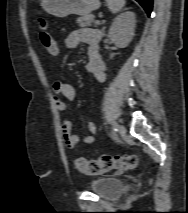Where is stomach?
Returning a JSON list of instances; mask_svg holds the SVG:
<instances>
[{"mask_svg":"<svg viewBox=\"0 0 188 213\" xmlns=\"http://www.w3.org/2000/svg\"><path fill=\"white\" fill-rule=\"evenodd\" d=\"M99 6V0H41L43 10L56 17H66L70 14L89 15Z\"/></svg>","mask_w":188,"mask_h":213,"instance_id":"stomach-1","label":"stomach"}]
</instances>
